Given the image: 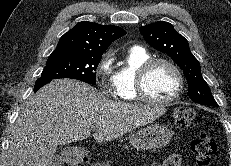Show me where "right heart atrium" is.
<instances>
[{
  "label": "right heart atrium",
  "mask_w": 231,
  "mask_h": 166,
  "mask_svg": "<svg viewBox=\"0 0 231 166\" xmlns=\"http://www.w3.org/2000/svg\"><path fill=\"white\" fill-rule=\"evenodd\" d=\"M114 55L107 52L96 68V78L99 88L106 94L116 93V72L113 70Z\"/></svg>",
  "instance_id": "right-heart-atrium-1"
}]
</instances>
